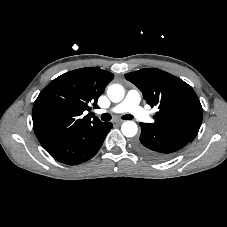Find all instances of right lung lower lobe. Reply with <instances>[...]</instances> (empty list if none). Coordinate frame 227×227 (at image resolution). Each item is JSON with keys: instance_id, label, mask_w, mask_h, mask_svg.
<instances>
[{"instance_id": "obj_1", "label": "right lung lower lobe", "mask_w": 227, "mask_h": 227, "mask_svg": "<svg viewBox=\"0 0 227 227\" xmlns=\"http://www.w3.org/2000/svg\"><path fill=\"white\" fill-rule=\"evenodd\" d=\"M111 129L110 122L81 129L46 151L57 161L67 165L86 162L98 152Z\"/></svg>"}]
</instances>
